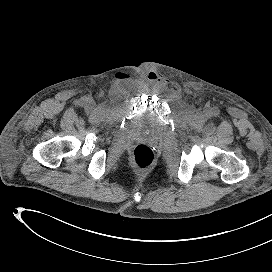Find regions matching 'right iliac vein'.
<instances>
[{
	"mask_svg": "<svg viewBox=\"0 0 272 272\" xmlns=\"http://www.w3.org/2000/svg\"><path fill=\"white\" fill-rule=\"evenodd\" d=\"M88 105L90 106L92 104L91 100H87Z\"/></svg>",
	"mask_w": 272,
	"mask_h": 272,
	"instance_id": "1",
	"label": "right iliac vein"
}]
</instances>
